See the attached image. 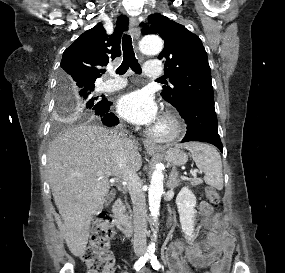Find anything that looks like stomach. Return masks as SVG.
<instances>
[{"label":"stomach","instance_id":"0dacf381","mask_svg":"<svg viewBox=\"0 0 285 273\" xmlns=\"http://www.w3.org/2000/svg\"><path fill=\"white\" fill-rule=\"evenodd\" d=\"M163 155L166 161L175 166L184 165L188 160L187 154L180 147L169 148Z\"/></svg>","mask_w":285,"mask_h":273}]
</instances>
